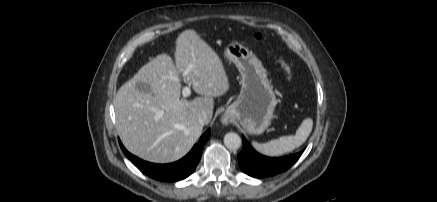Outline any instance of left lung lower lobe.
I'll list each match as a JSON object with an SVG mask.
<instances>
[{
	"label": "left lung lower lobe",
	"instance_id": "obj_1",
	"mask_svg": "<svg viewBox=\"0 0 437 202\" xmlns=\"http://www.w3.org/2000/svg\"><path fill=\"white\" fill-rule=\"evenodd\" d=\"M243 150L238 155L240 168L249 176L263 178L288 170L302 155L303 151L285 157H266L256 152L242 137Z\"/></svg>",
	"mask_w": 437,
	"mask_h": 202
}]
</instances>
